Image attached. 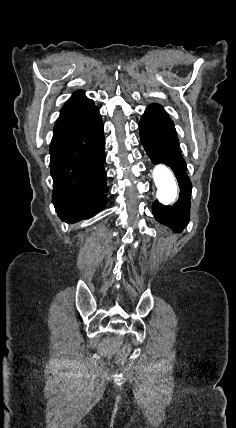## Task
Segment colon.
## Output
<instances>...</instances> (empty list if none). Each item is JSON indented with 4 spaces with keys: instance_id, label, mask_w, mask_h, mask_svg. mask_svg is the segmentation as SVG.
<instances>
[{
    "instance_id": "colon-1",
    "label": "colon",
    "mask_w": 236,
    "mask_h": 428,
    "mask_svg": "<svg viewBox=\"0 0 236 428\" xmlns=\"http://www.w3.org/2000/svg\"><path fill=\"white\" fill-rule=\"evenodd\" d=\"M131 350H132V347H131L130 343L124 344L116 355L117 362L120 364L123 363L128 358V356L130 355Z\"/></svg>"
}]
</instances>
